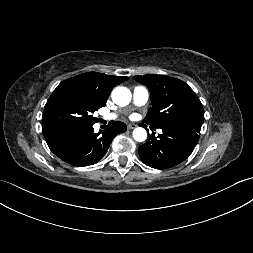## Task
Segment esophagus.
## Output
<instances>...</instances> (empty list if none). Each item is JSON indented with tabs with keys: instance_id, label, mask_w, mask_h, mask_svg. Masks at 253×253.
<instances>
[{
	"instance_id": "34e87169",
	"label": "esophagus",
	"mask_w": 253,
	"mask_h": 253,
	"mask_svg": "<svg viewBox=\"0 0 253 253\" xmlns=\"http://www.w3.org/2000/svg\"><path fill=\"white\" fill-rule=\"evenodd\" d=\"M127 128H128L129 130H131V129L136 128V125H135V124H128Z\"/></svg>"
}]
</instances>
